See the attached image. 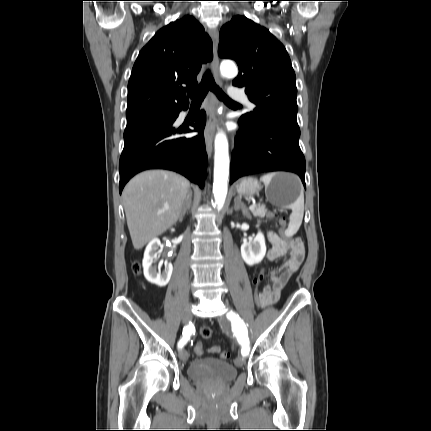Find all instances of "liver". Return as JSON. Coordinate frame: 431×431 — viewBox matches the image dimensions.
<instances>
[{
	"label": "liver",
	"instance_id": "liver-1",
	"mask_svg": "<svg viewBox=\"0 0 431 431\" xmlns=\"http://www.w3.org/2000/svg\"><path fill=\"white\" fill-rule=\"evenodd\" d=\"M190 182L164 170H149L131 179L122 199L132 244L141 249L180 218Z\"/></svg>",
	"mask_w": 431,
	"mask_h": 431
}]
</instances>
